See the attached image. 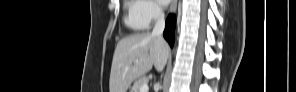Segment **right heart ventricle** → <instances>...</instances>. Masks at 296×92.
<instances>
[{
	"instance_id": "right-heart-ventricle-1",
	"label": "right heart ventricle",
	"mask_w": 296,
	"mask_h": 92,
	"mask_svg": "<svg viewBox=\"0 0 296 92\" xmlns=\"http://www.w3.org/2000/svg\"><path fill=\"white\" fill-rule=\"evenodd\" d=\"M127 15L125 16L124 22L127 27L134 31L144 30L146 25L139 19L137 12V2L127 1L126 2Z\"/></svg>"
}]
</instances>
